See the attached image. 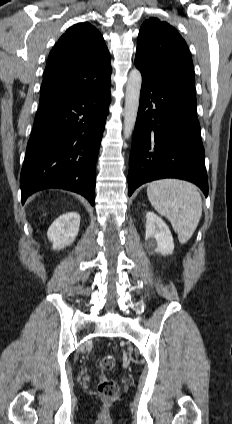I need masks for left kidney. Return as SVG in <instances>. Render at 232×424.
I'll list each match as a JSON object with an SVG mask.
<instances>
[{
  "label": "left kidney",
  "instance_id": "1",
  "mask_svg": "<svg viewBox=\"0 0 232 424\" xmlns=\"http://www.w3.org/2000/svg\"><path fill=\"white\" fill-rule=\"evenodd\" d=\"M145 246L149 251L162 255L172 254L174 242L171 231L166 223L154 212L146 214Z\"/></svg>",
  "mask_w": 232,
  "mask_h": 424
}]
</instances>
